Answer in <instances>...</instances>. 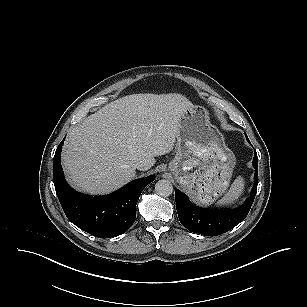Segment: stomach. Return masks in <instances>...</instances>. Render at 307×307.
Wrapping results in <instances>:
<instances>
[{
    "label": "stomach",
    "instance_id": "0dacf381",
    "mask_svg": "<svg viewBox=\"0 0 307 307\" xmlns=\"http://www.w3.org/2000/svg\"><path fill=\"white\" fill-rule=\"evenodd\" d=\"M236 164L220 131L202 106L186 109L180 117L176 155L169 170L196 201L207 204L226 192Z\"/></svg>",
    "mask_w": 307,
    "mask_h": 307
}]
</instances>
